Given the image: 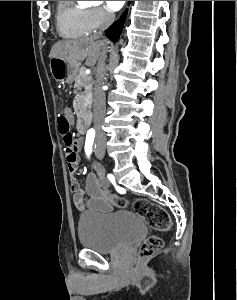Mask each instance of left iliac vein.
Returning a JSON list of instances; mask_svg holds the SVG:
<instances>
[{
	"label": "left iliac vein",
	"instance_id": "4c4485c4",
	"mask_svg": "<svg viewBox=\"0 0 237 300\" xmlns=\"http://www.w3.org/2000/svg\"><path fill=\"white\" fill-rule=\"evenodd\" d=\"M97 158L99 159H103L104 158V153L103 154H99L97 151L95 152Z\"/></svg>",
	"mask_w": 237,
	"mask_h": 300
}]
</instances>
